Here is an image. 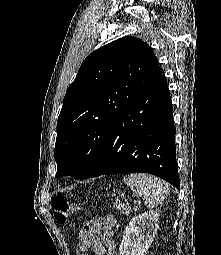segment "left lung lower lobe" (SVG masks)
<instances>
[{"label":"left lung lower lobe","instance_id":"0a47b994","mask_svg":"<svg viewBox=\"0 0 221 255\" xmlns=\"http://www.w3.org/2000/svg\"><path fill=\"white\" fill-rule=\"evenodd\" d=\"M176 129L166 78L158 80L115 121L107 142L81 176L145 172L180 190Z\"/></svg>","mask_w":221,"mask_h":255}]
</instances>
